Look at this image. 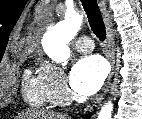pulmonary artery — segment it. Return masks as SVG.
<instances>
[{
  "instance_id": "e3ab8cb5",
  "label": "pulmonary artery",
  "mask_w": 142,
  "mask_h": 119,
  "mask_svg": "<svg viewBox=\"0 0 142 119\" xmlns=\"http://www.w3.org/2000/svg\"><path fill=\"white\" fill-rule=\"evenodd\" d=\"M75 48L79 53H89L93 50L94 44L89 37H81L76 40Z\"/></svg>"
}]
</instances>
